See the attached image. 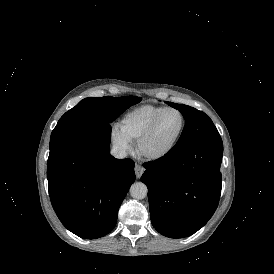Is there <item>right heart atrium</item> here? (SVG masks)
<instances>
[{"label":"right heart atrium","instance_id":"obj_1","mask_svg":"<svg viewBox=\"0 0 274 274\" xmlns=\"http://www.w3.org/2000/svg\"><path fill=\"white\" fill-rule=\"evenodd\" d=\"M112 142L123 152H129L132 149L131 142L126 139L118 129H113L111 133Z\"/></svg>","mask_w":274,"mask_h":274}]
</instances>
